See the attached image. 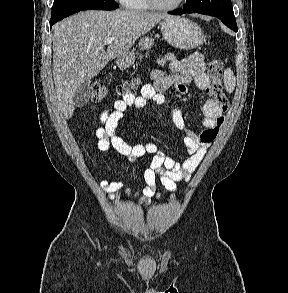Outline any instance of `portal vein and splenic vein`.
I'll use <instances>...</instances> for the list:
<instances>
[{
    "mask_svg": "<svg viewBox=\"0 0 288 293\" xmlns=\"http://www.w3.org/2000/svg\"><path fill=\"white\" fill-rule=\"evenodd\" d=\"M114 40H115V38H107V39L104 40V43L107 44V45H109V44H111Z\"/></svg>",
    "mask_w": 288,
    "mask_h": 293,
    "instance_id": "1",
    "label": "portal vein and splenic vein"
}]
</instances>
